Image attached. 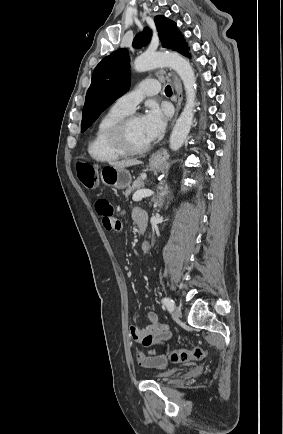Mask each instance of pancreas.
I'll return each instance as SVG.
<instances>
[{"mask_svg":"<svg viewBox=\"0 0 283 434\" xmlns=\"http://www.w3.org/2000/svg\"><path fill=\"white\" fill-rule=\"evenodd\" d=\"M143 187H144L143 179L141 177H139L137 180H135L133 182L132 186H129L127 188V190L125 191L126 198L129 197V195H130L131 192H133L135 190H138V189H141Z\"/></svg>","mask_w":283,"mask_h":434,"instance_id":"1","label":"pancreas"}]
</instances>
